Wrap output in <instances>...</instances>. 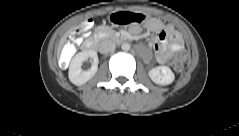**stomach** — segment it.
<instances>
[{"label": "stomach", "mask_w": 239, "mask_h": 136, "mask_svg": "<svg viewBox=\"0 0 239 136\" xmlns=\"http://www.w3.org/2000/svg\"><path fill=\"white\" fill-rule=\"evenodd\" d=\"M145 20L146 15L144 13L117 12L109 14V21L112 24L128 30H135L138 24H142Z\"/></svg>", "instance_id": "obj_1"}]
</instances>
